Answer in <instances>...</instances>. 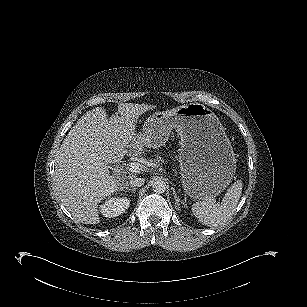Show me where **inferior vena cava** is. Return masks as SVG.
I'll use <instances>...</instances> for the list:
<instances>
[{
  "label": "inferior vena cava",
  "instance_id": "602c4592",
  "mask_svg": "<svg viewBox=\"0 0 307 307\" xmlns=\"http://www.w3.org/2000/svg\"><path fill=\"white\" fill-rule=\"evenodd\" d=\"M144 182H145L144 178L132 177L129 180V185L131 187H141L144 184Z\"/></svg>",
  "mask_w": 307,
  "mask_h": 307
}]
</instances>
